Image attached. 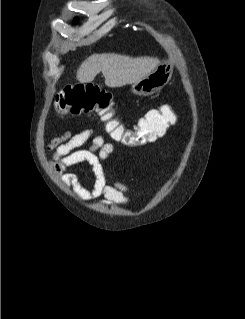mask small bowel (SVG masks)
Masks as SVG:
<instances>
[{"mask_svg":"<svg viewBox=\"0 0 245 319\" xmlns=\"http://www.w3.org/2000/svg\"><path fill=\"white\" fill-rule=\"evenodd\" d=\"M165 107L167 106L161 108ZM89 141L90 147L83 149ZM48 149L53 151L50 166L66 186L74 188L80 198L104 197L106 205H122L128 202L126 186L103 167V162L114 150L113 144L106 141L103 135H94L91 129L78 133L66 131L53 138ZM84 163L92 167L95 176L93 188L90 190L81 185L75 173L66 172L68 168Z\"/></svg>","mask_w":245,"mask_h":319,"instance_id":"obj_1","label":"small bowel"}]
</instances>
